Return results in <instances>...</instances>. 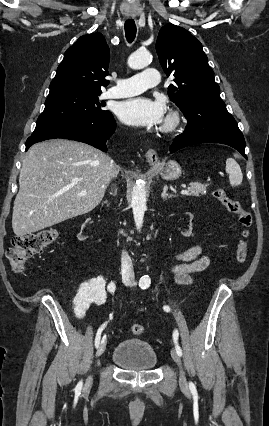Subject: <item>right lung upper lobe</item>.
<instances>
[{"label": "right lung upper lobe", "instance_id": "1", "mask_svg": "<svg viewBox=\"0 0 269 426\" xmlns=\"http://www.w3.org/2000/svg\"><path fill=\"white\" fill-rule=\"evenodd\" d=\"M110 59L109 47L100 33L81 36L68 48L56 76L50 84V92L59 90H84L101 92L107 86Z\"/></svg>", "mask_w": 269, "mask_h": 426}]
</instances>
